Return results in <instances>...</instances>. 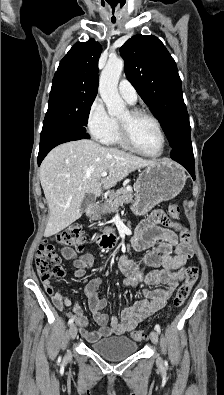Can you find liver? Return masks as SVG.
<instances>
[{
	"label": "liver",
	"mask_w": 224,
	"mask_h": 395,
	"mask_svg": "<svg viewBox=\"0 0 224 395\" xmlns=\"http://www.w3.org/2000/svg\"><path fill=\"white\" fill-rule=\"evenodd\" d=\"M156 162L93 140L71 141L54 148L39 172L50 212L44 236L57 234L79 219L87 193L100 196L102 185L114 187L132 171ZM104 171L108 176L102 179Z\"/></svg>",
	"instance_id": "6515ba94"
}]
</instances>
